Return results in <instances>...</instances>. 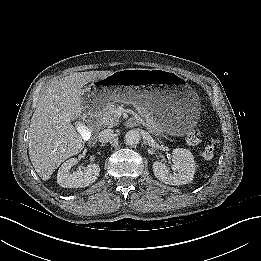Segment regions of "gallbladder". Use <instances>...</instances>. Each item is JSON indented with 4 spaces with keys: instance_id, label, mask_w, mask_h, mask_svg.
<instances>
[{
    "instance_id": "gallbladder-1",
    "label": "gallbladder",
    "mask_w": 261,
    "mask_h": 261,
    "mask_svg": "<svg viewBox=\"0 0 261 261\" xmlns=\"http://www.w3.org/2000/svg\"><path fill=\"white\" fill-rule=\"evenodd\" d=\"M75 127L78 131V133L83 136V139L85 141H88L91 138V132L86 128L84 123L82 121H77L75 123Z\"/></svg>"
}]
</instances>
